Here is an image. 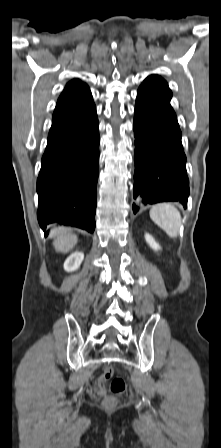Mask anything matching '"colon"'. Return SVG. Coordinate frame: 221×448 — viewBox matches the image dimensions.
<instances>
[{"label":"colon","instance_id":"1","mask_svg":"<svg viewBox=\"0 0 221 448\" xmlns=\"http://www.w3.org/2000/svg\"><path fill=\"white\" fill-rule=\"evenodd\" d=\"M109 379H111L109 385L111 395L105 398L103 404L106 408H113L118 401V397L126 391V383L122 377H114V369L111 366H106L100 381Z\"/></svg>","mask_w":221,"mask_h":448}]
</instances>
